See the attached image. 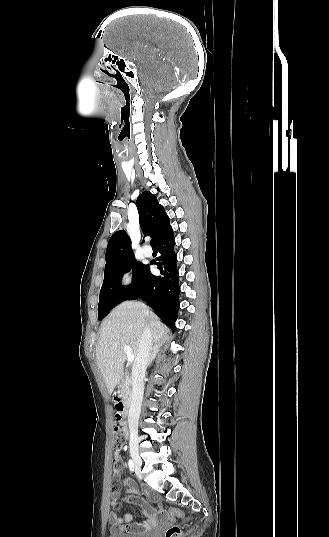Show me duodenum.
<instances>
[{
	"label": "duodenum",
	"instance_id": "410a0bca",
	"mask_svg": "<svg viewBox=\"0 0 329 537\" xmlns=\"http://www.w3.org/2000/svg\"><path fill=\"white\" fill-rule=\"evenodd\" d=\"M114 406L116 409H118V412H120V415H122L123 418L128 416L130 407L129 400L126 398L115 397Z\"/></svg>",
	"mask_w": 329,
	"mask_h": 537
}]
</instances>
